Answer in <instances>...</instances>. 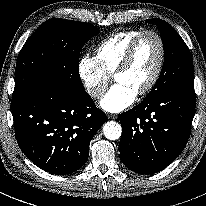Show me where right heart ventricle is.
Returning <instances> with one entry per match:
<instances>
[{"label": "right heart ventricle", "instance_id": "1", "mask_svg": "<svg viewBox=\"0 0 206 206\" xmlns=\"http://www.w3.org/2000/svg\"><path fill=\"white\" fill-rule=\"evenodd\" d=\"M140 32H142L140 29L119 31L98 45L96 58L108 75L115 72L128 46Z\"/></svg>", "mask_w": 206, "mask_h": 206}]
</instances>
